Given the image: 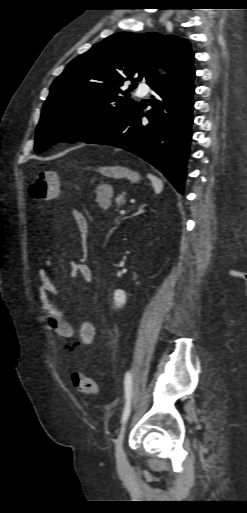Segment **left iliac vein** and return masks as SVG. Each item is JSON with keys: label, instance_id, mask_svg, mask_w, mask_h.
Returning <instances> with one entry per match:
<instances>
[{"label": "left iliac vein", "instance_id": "obj_1", "mask_svg": "<svg viewBox=\"0 0 247 513\" xmlns=\"http://www.w3.org/2000/svg\"><path fill=\"white\" fill-rule=\"evenodd\" d=\"M127 427V419L123 422V425L120 429L117 441H116V447H115V457H116V464L117 469L120 473H124L128 470L129 464L126 458V454L123 448V441L125 437Z\"/></svg>", "mask_w": 247, "mask_h": 513}]
</instances>
